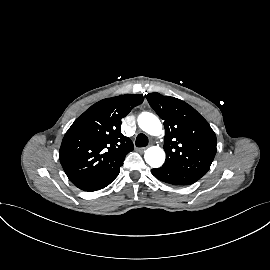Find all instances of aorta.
I'll return each mask as SVG.
<instances>
[{"instance_id":"1","label":"aorta","mask_w":270,"mask_h":270,"mask_svg":"<svg viewBox=\"0 0 270 270\" xmlns=\"http://www.w3.org/2000/svg\"><path fill=\"white\" fill-rule=\"evenodd\" d=\"M138 126L146 133L159 136L162 133V124L157 116L149 112H142L137 118ZM146 163L152 168H159L165 161V152L157 146L149 147L144 154Z\"/></svg>"}]
</instances>
